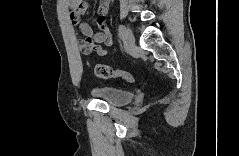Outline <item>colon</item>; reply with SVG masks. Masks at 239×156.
I'll return each mask as SVG.
<instances>
[{"label": "colon", "mask_w": 239, "mask_h": 156, "mask_svg": "<svg viewBox=\"0 0 239 156\" xmlns=\"http://www.w3.org/2000/svg\"><path fill=\"white\" fill-rule=\"evenodd\" d=\"M94 72L96 76L103 79L116 78L125 80L130 83L133 82L134 80L130 74L120 70L113 69L110 66L103 64H97L94 68Z\"/></svg>", "instance_id": "5ec220e1"}]
</instances>
